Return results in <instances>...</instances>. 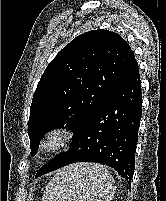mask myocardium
<instances>
[{
    "mask_svg": "<svg viewBox=\"0 0 166 201\" xmlns=\"http://www.w3.org/2000/svg\"><path fill=\"white\" fill-rule=\"evenodd\" d=\"M71 141V134L62 127H55L46 132L41 139L39 151L52 154L64 150Z\"/></svg>",
    "mask_w": 166,
    "mask_h": 201,
    "instance_id": "f54148a6",
    "label": "myocardium"
}]
</instances>
